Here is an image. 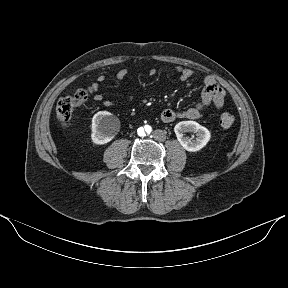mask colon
Returning a JSON list of instances; mask_svg holds the SVG:
<instances>
[{"label":"colon","instance_id":"1","mask_svg":"<svg viewBox=\"0 0 288 288\" xmlns=\"http://www.w3.org/2000/svg\"><path fill=\"white\" fill-rule=\"evenodd\" d=\"M91 93V89L79 88L73 94L61 97L56 106V115L62 127H67L75 108L85 102ZM222 127L229 128L234 123V117L230 113H222L219 118Z\"/></svg>","mask_w":288,"mask_h":288}]
</instances>
